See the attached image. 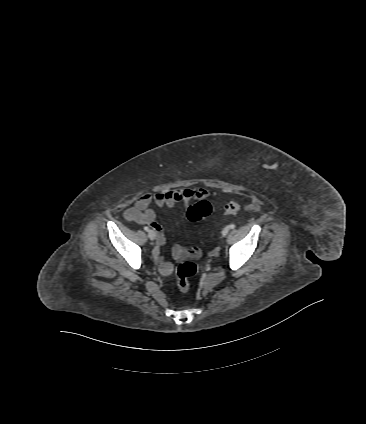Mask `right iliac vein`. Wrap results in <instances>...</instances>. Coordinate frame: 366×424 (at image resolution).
<instances>
[{
    "label": "right iliac vein",
    "instance_id": "right-iliac-vein-1",
    "mask_svg": "<svg viewBox=\"0 0 366 424\" xmlns=\"http://www.w3.org/2000/svg\"><path fill=\"white\" fill-rule=\"evenodd\" d=\"M148 237H149V239H150V240H154V239H155V237H156L155 232H154L153 230H150V231L148 232Z\"/></svg>",
    "mask_w": 366,
    "mask_h": 424
}]
</instances>
